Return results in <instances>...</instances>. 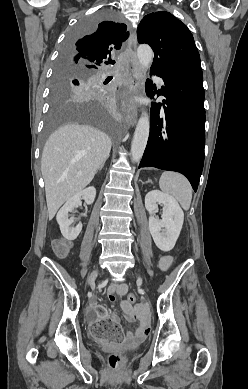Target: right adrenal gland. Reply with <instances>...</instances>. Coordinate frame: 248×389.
Segmentation results:
<instances>
[{
    "label": "right adrenal gland",
    "instance_id": "obj_1",
    "mask_svg": "<svg viewBox=\"0 0 248 389\" xmlns=\"http://www.w3.org/2000/svg\"><path fill=\"white\" fill-rule=\"evenodd\" d=\"M104 164H105V162H103L101 165H100V167H99V171H101L102 170V168L104 167Z\"/></svg>",
    "mask_w": 248,
    "mask_h": 389
}]
</instances>
